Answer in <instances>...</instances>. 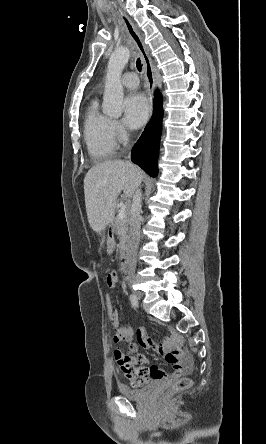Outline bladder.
I'll list each match as a JSON object with an SVG mask.
<instances>
[{
    "mask_svg": "<svg viewBox=\"0 0 266 444\" xmlns=\"http://www.w3.org/2000/svg\"><path fill=\"white\" fill-rule=\"evenodd\" d=\"M158 385L157 381H152L148 385L140 388V389H131L128 387H119V391L125 398L133 401H143L149 395H151Z\"/></svg>",
    "mask_w": 266,
    "mask_h": 444,
    "instance_id": "obj_1",
    "label": "bladder"
}]
</instances>
